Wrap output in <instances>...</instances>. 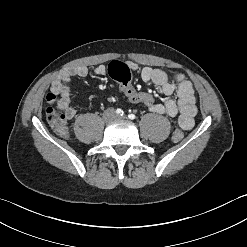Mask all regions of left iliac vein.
<instances>
[{"label":"left iliac vein","mask_w":247,"mask_h":247,"mask_svg":"<svg viewBox=\"0 0 247 247\" xmlns=\"http://www.w3.org/2000/svg\"><path fill=\"white\" fill-rule=\"evenodd\" d=\"M117 118H118V119H125L126 117H125V116H123V117L118 116Z\"/></svg>","instance_id":"obj_1"}]
</instances>
